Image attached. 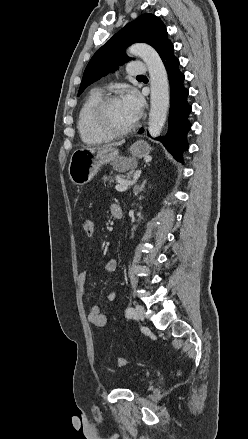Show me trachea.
Here are the masks:
<instances>
[{"instance_id":"trachea-1","label":"trachea","mask_w":248,"mask_h":439,"mask_svg":"<svg viewBox=\"0 0 248 439\" xmlns=\"http://www.w3.org/2000/svg\"><path fill=\"white\" fill-rule=\"evenodd\" d=\"M137 77H144L143 75H141V76H137Z\"/></svg>"}]
</instances>
